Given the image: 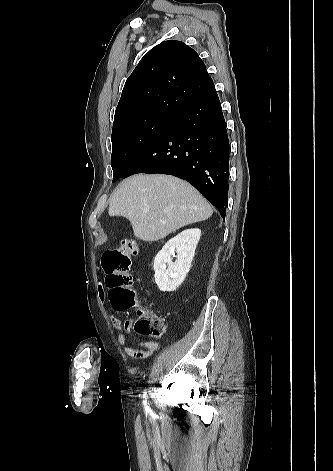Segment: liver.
I'll list each match as a JSON object with an SVG mask.
<instances>
[{"label":"liver","mask_w":333,"mask_h":471,"mask_svg":"<svg viewBox=\"0 0 333 471\" xmlns=\"http://www.w3.org/2000/svg\"><path fill=\"white\" fill-rule=\"evenodd\" d=\"M212 213L210 204L188 182L164 174L131 176L109 199V215L127 218L135 237L143 241L165 238Z\"/></svg>","instance_id":"liver-1"}]
</instances>
